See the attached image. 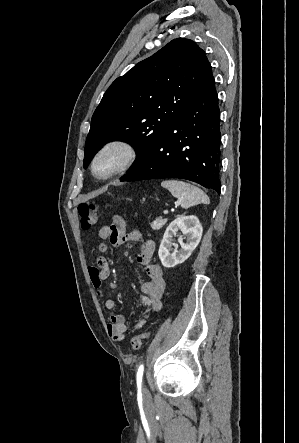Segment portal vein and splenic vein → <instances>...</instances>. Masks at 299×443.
<instances>
[{
  "instance_id": "obj_1",
  "label": "portal vein and splenic vein",
  "mask_w": 299,
  "mask_h": 443,
  "mask_svg": "<svg viewBox=\"0 0 299 443\" xmlns=\"http://www.w3.org/2000/svg\"><path fill=\"white\" fill-rule=\"evenodd\" d=\"M164 214H168V210H165V211H164Z\"/></svg>"
}]
</instances>
